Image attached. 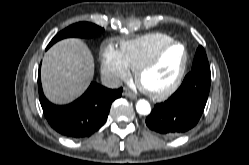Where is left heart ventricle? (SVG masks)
<instances>
[{
	"label": "left heart ventricle",
	"mask_w": 249,
	"mask_h": 165,
	"mask_svg": "<svg viewBox=\"0 0 249 165\" xmlns=\"http://www.w3.org/2000/svg\"><path fill=\"white\" fill-rule=\"evenodd\" d=\"M184 56V50L180 46L169 49L160 62L144 73L141 82L145 87L161 89L168 86L174 79Z\"/></svg>",
	"instance_id": "left-heart-ventricle-1"
}]
</instances>
